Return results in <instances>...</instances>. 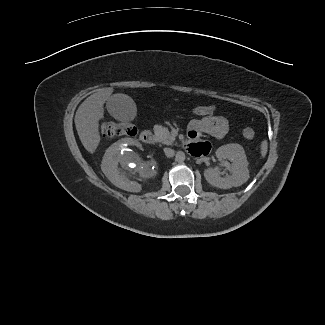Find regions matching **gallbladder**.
<instances>
[{
	"label": "gallbladder",
	"mask_w": 325,
	"mask_h": 325,
	"mask_svg": "<svg viewBox=\"0 0 325 325\" xmlns=\"http://www.w3.org/2000/svg\"><path fill=\"white\" fill-rule=\"evenodd\" d=\"M109 114L119 121H132L136 116V106L126 97L114 98L107 102Z\"/></svg>",
	"instance_id": "bac80fb5"
}]
</instances>
